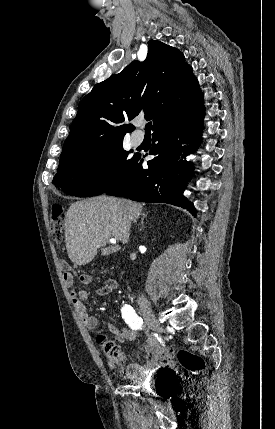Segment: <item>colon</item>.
I'll return each mask as SVG.
<instances>
[{
  "label": "colon",
  "mask_w": 275,
  "mask_h": 429,
  "mask_svg": "<svg viewBox=\"0 0 275 429\" xmlns=\"http://www.w3.org/2000/svg\"><path fill=\"white\" fill-rule=\"evenodd\" d=\"M64 231V210L60 204H54L51 211V235L55 242L60 243L63 240ZM62 268L67 272L69 266L65 261L61 262ZM98 342L102 344L106 356L113 365L123 362L122 352L117 344L107 340L104 336L98 337ZM178 363L185 370L192 373L202 372L205 368L204 360L186 350L181 349L174 352L170 348H166L161 353V365L165 368L172 367Z\"/></svg>",
  "instance_id": "obj_1"
}]
</instances>
